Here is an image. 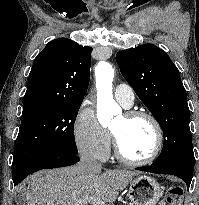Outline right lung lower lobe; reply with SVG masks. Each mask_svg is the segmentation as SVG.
<instances>
[{"mask_svg":"<svg viewBox=\"0 0 199 205\" xmlns=\"http://www.w3.org/2000/svg\"><path fill=\"white\" fill-rule=\"evenodd\" d=\"M79 160L80 158L78 156L61 151H48L38 154L13 165L14 185H17L26 176L38 170L70 166Z\"/></svg>","mask_w":199,"mask_h":205,"instance_id":"right-lung-lower-lobe-1","label":"right lung lower lobe"}]
</instances>
